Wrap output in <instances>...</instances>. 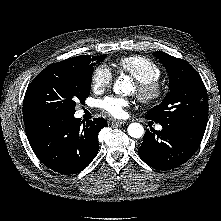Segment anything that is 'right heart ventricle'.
I'll return each mask as SVG.
<instances>
[{
    "label": "right heart ventricle",
    "mask_w": 221,
    "mask_h": 221,
    "mask_svg": "<svg viewBox=\"0 0 221 221\" xmlns=\"http://www.w3.org/2000/svg\"><path fill=\"white\" fill-rule=\"evenodd\" d=\"M117 67L140 83L157 81L161 77L160 67L151 59L141 55L122 57L117 61Z\"/></svg>",
    "instance_id": "1"
}]
</instances>
